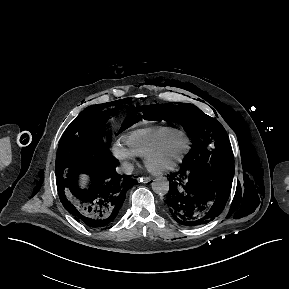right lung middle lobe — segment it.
<instances>
[{
	"instance_id": "obj_1",
	"label": "right lung middle lobe",
	"mask_w": 289,
	"mask_h": 289,
	"mask_svg": "<svg viewBox=\"0 0 289 289\" xmlns=\"http://www.w3.org/2000/svg\"><path fill=\"white\" fill-rule=\"evenodd\" d=\"M131 102L128 99H121L97 104L86 108L78 115L67 127L58 146L56 156L57 182L66 178L73 165L82 157L87 156L86 152L94 151L96 154L104 152V144L112 136L108 134L107 128L111 117L117 111L116 107H119L122 103L129 104ZM137 110L135 108L132 114L126 118L120 132L141 119L137 115Z\"/></svg>"
}]
</instances>
